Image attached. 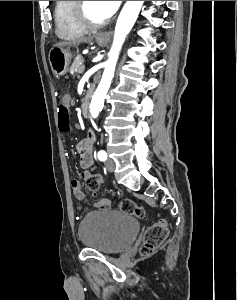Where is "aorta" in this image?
I'll return each instance as SVG.
<instances>
[{"label": "aorta", "instance_id": "obj_1", "mask_svg": "<svg viewBox=\"0 0 237 300\" xmlns=\"http://www.w3.org/2000/svg\"><path fill=\"white\" fill-rule=\"evenodd\" d=\"M143 3L144 1H127L117 19L114 31V41L110 51L109 59L107 63H105L102 79L90 103V113L93 119H96L100 111L103 109L104 99L110 89L122 45L128 33H130L134 23H136V19L143 7Z\"/></svg>", "mask_w": 237, "mask_h": 300}]
</instances>
